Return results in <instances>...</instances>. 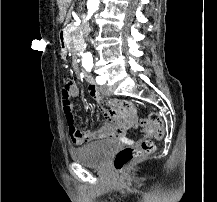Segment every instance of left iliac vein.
Wrapping results in <instances>:
<instances>
[{"label":"left iliac vein","instance_id":"1","mask_svg":"<svg viewBox=\"0 0 217 202\" xmlns=\"http://www.w3.org/2000/svg\"><path fill=\"white\" fill-rule=\"evenodd\" d=\"M100 90H101V93L103 95H106V96L111 95V91L109 90L107 85H104V86L100 87Z\"/></svg>","mask_w":217,"mask_h":202}]
</instances>
